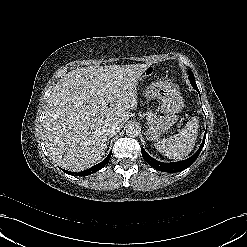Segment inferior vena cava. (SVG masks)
Masks as SVG:
<instances>
[{
  "label": "inferior vena cava",
  "instance_id": "602c4592",
  "mask_svg": "<svg viewBox=\"0 0 247 247\" xmlns=\"http://www.w3.org/2000/svg\"><path fill=\"white\" fill-rule=\"evenodd\" d=\"M122 129V124L118 123V122H114V123H109L106 125L105 127V134L108 137H113L115 134H117L120 130Z\"/></svg>",
  "mask_w": 247,
  "mask_h": 247
}]
</instances>
